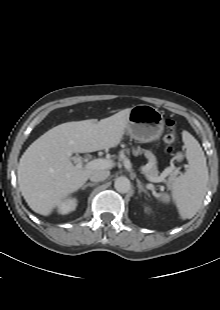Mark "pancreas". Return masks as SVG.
Listing matches in <instances>:
<instances>
[{
    "label": "pancreas",
    "mask_w": 220,
    "mask_h": 310,
    "mask_svg": "<svg viewBox=\"0 0 220 310\" xmlns=\"http://www.w3.org/2000/svg\"><path fill=\"white\" fill-rule=\"evenodd\" d=\"M143 151L144 150L138 149V150L134 151V154L137 155V154L142 153ZM144 152H145L146 156L149 158V163L144 167V173L150 177H159L155 157L149 151H144ZM168 174L170 175L169 180H168V184H171L175 175H176V172L171 171Z\"/></svg>",
    "instance_id": "obj_1"
}]
</instances>
